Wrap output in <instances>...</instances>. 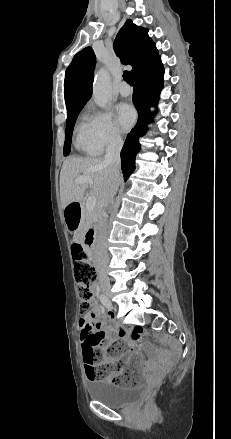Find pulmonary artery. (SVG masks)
Returning a JSON list of instances; mask_svg holds the SVG:
<instances>
[{"instance_id": "obj_1", "label": "pulmonary artery", "mask_w": 231, "mask_h": 439, "mask_svg": "<svg viewBox=\"0 0 231 439\" xmlns=\"http://www.w3.org/2000/svg\"><path fill=\"white\" fill-rule=\"evenodd\" d=\"M119 92L122 96H128L131 93V88L123 82L119 85Z\"/></svg>"}]
</instances>
